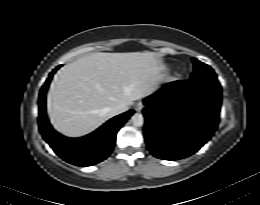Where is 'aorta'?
<instances>
[{
    "instance_id": "1",
    "label": "aorta",
    "mask_w": 260,
    "mask_h": 205,
    "mask_svg": "<svg viewBox=\"0 0 260 205\" xmlns=\"http://www.w3.org/2000/svg\"><path fill=\"white\" fill-rule=\"evenodd\" d=\"M131 121L135 127H141L143 125V115L140 113H135L131 117Z\"/></svg>"
}]
</instances>
